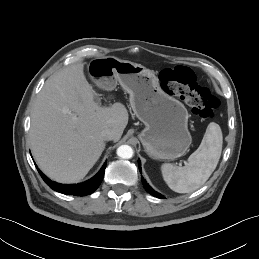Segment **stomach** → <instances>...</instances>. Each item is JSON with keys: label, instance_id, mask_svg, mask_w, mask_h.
Wrapping results in <instances>:
<instances>
[{"label": "stomach", "instance_id": "0dacf381", "mask_svg": "<svg viewBox=\"0 0 259 259\" xmlns=\"http://www.w3.org/2000/svg\"><path fill=\"white\" fill-rule=\"evenodd\" d=\"M88 72L99 87L112 90L119 83L129 93L131 108L145 125L139 139L151 158L172 160L185 154L192 142L188 111L162 90L152 70L107 56L92 59Z\"/></svg>", "mask_w": 259, "mask_h": 259}]
</instances>
